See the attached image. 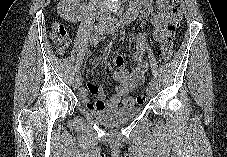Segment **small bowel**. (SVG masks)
I'll list each match as a JSON object with an SVG mask.
<instances>
[{
    "label": "small bowel",
    "instance_id": "obj_1",
    "mask_svg": "<svg viewBox=\"0 0 227 157\" xmlns=\"http://www.w3.org/2000/svg\"><path fill=\"white\" fill-rule=\"evenodd\" d=\"M136 4L138 6V10L141 6H143L152 16L151 23L154 28V38L157 41L165 40L168 37L166 27L170 17V0H157L158 13L156 14L153 11L152 0H137ZM92 43L96 42L92 41ZM146 51L147 44L144 38H140L137 48L132 54V58L135 63L132 71H129L126 68L124 59L121 55L114 58L113 63L115 71L112 73V78L118 84L116 85L114 93L110 98H106L102 87L93 83H88L86 87H82L78 90L80 100L90 110L104 109L118 105L124 96L143 83L145 73L148 69V64L144 60V54ZM92 63L96 64L97 61L92 60ZM89 95L95 96L97 100L91 101Z\"/></svg>",
    "mask_w": 227,
    "mask_h": 157
}]
</instances>
